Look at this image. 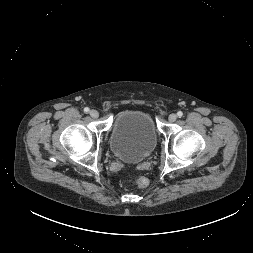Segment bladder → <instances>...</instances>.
I'll return each instance as SVG.
<instances>
[{"instance_id":"1","label":"bladder","mask_w":253,"mask_h":253,"mask_svg":"<svg viewBox=\"0 0 253 253\" xmlns=\"http://www.w3.org/2000/svg\"><path fill=\"white\" fill-rule=\"evenodd\" d=\"M110 149L120 160L139 163L154 151L157 129L152 116L144 110H125L113 120Z\"/></svg>"}]
</instances>
